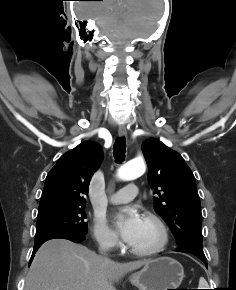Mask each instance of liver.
Wrapping results in <instances>:
<instances>
[{
  "label": "liver",
  "instance_id": "obj_1",
  "mask_svg": "<svg viewBox=\"0 0 236 290\" xmlns=\"http://www.w3.org/2000/svg\"><path fill=\"white\" fill-rule=\"evenodd\" d=\"M148 261L118 263L83 245L52 239L37 251L24 290H116L114 282Z\"/></svg>",
  "mask_w": 236,
  "mask_h": 290
}]
</instances>
